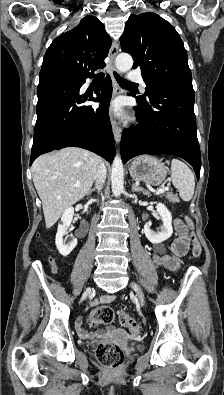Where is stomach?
I'll list each match as a JSON object with an SVG mask.
<instances>
[{
  "label": "stomach",
  "instance_id": "0dacf381",
  "mask_svg": "<svg viewBox=\"0 0 224 395\" xmlns=\"http://www.w3.org/2000/svg\"><path fill=\"white\" fill-rule=\"evenodd\" d=\"M130 175L134 180L157 186L165 180L167 167L155 157L142 155L131 163Z\"/></svg>",
  "mask_w": 224,
  "mask_h": 395
}]
</instances>
